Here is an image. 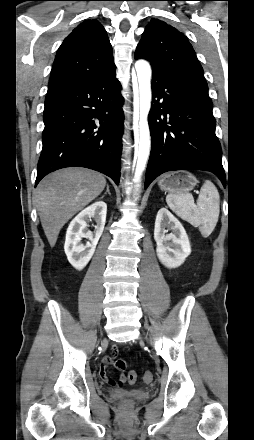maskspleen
I'll return each instance as SVG.
<instances>
[{"label":"spleen","instance_id":"obj_1","mask_svg":"<svg viewBox=\"0 0 254 440\" xmlns=\"http://www.w3.org/2000/svg\"><path fill=\"white\" fill-rule=\"evenodd\" d=\"M166 202L178 217L198 227L204 238L212 233L218 222L220 196L210 180L204 181L196 204L190 193L168 194Z\"/></svg>","mask_w":254,"mask_h":440}]
</instances>
